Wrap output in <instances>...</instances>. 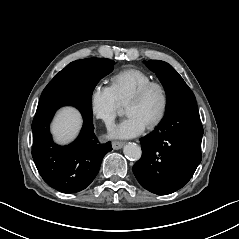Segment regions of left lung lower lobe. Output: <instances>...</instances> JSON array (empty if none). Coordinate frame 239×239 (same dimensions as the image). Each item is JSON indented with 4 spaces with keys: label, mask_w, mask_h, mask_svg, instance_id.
<instances>
[{
    "label": "left lung lower lobe",
    "mask_w": 239,
    "mask_h": 239,
    "mask_svg": "<svg viewBox=\"0 0 239 239\" xmlns=\"http://www.w3.org/2000/svg\"><path fill=\"white\" fill-rule=\"evenodd\" d=\"M202 135L196 99L175 105L159 126L140 140L142 157L133 166L138 182L158 195L182 188L201 162Z\"/></svg>",
    "instance_id": "1"
}]
</instances>
